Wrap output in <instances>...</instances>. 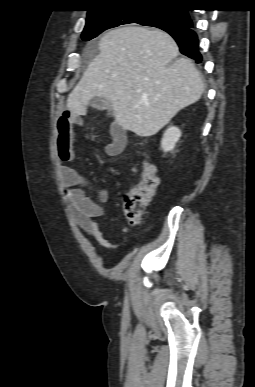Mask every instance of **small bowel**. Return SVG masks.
Returning a JSON list of instances; mask_svg holds the SVG:
<instances>
[{
  "mask_svg": "<svg viewBox=\"0 0 255 387\" xmlns=\"http://www.w3.org/2000/svg\"><path fill=\"white\" fill-rule=\"evenodd\" d=\"M80 123L78 114L67 111L57 121L56 144L58 156L63 163L70 162L75 158L74 126ZM110 133L111 141L106 145L105 152L108 156H118L126 147L127 135L117 124L111 125ZM132 172H137L135 166L132 167ZM60 173L65 202L71 217L84 231L92 235L100 245L110 249L116 248L105 237L97 221L105 212V204L108 198L106 190L98 189L96 191L97 200H93L87 194L93 184L85 175L64 164L61 166ZM122 230L125 231L126 228Z\"/></svg>",
  "mask_w": 255,
  "mask_h": 387,
  "instance_id": "obj_1",
  "label": "small bowel"
}]
</instances>
